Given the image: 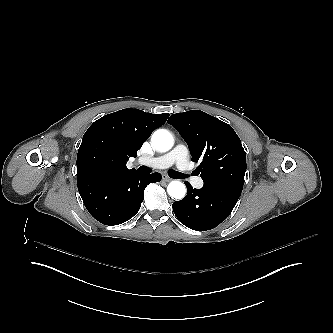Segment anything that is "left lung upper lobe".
Masks as SVG:
<instances>
[{
    "mask_svg": "<svg viewBox=\"0 0 333 333\" xmlns=\"http://www.w3.org/2000/svg\"><path fill=\"white\" fill-rule=\"evenodd\" d=\"M168 123L188 144L192 160L200 161L204 187L242 192L246 153L233 128L199 110L173 114Z\"/></svg>",
    "mask_w": 333,
    "mask_h": 333,
    "instance_id": "1",
    "label": "left lung upper lobe"
}]
</instances>
